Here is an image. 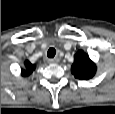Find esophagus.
<instances>
[{
  "label": "esophagus",
  "instance_id": "34e87169",
  "mask_svg": "<svg viewBox=\"0 0 115 114\" xmlns=\"http://www.w3.org/2000/svg\"><path fill=\"white\" fill-rule=\"evenodd\" d=\"M48 62L49 63H58L59 62V58L55 57V58H52V59H48Z\"/></svg>",
  "mask_w": 115,
  "mask_h": 114
}]
</instances>
